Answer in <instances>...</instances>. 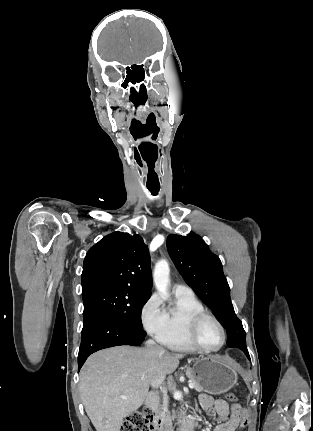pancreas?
<instances>
[{"mask_svg":"<svg viewBox=\"0 0 313 431\" xmlns=\"http://www.w3.org/2000/svg\"><path fill=\"white\" fill-rule=\"evenodd\" d=\"M186 374H187V376L189 378V382H191V383L194 384V389L196 391H198V392H201L202 391V387L198 384V382L195 380V378L191 375V373L189 372V370H187ZM167 407H168V397H167V394H165V397H164V408L167 409Z\"/></svg>","mask_w":313,"mask_h":431,"instance_id":"obj_1","label":"pancreas"}]
</instances>
